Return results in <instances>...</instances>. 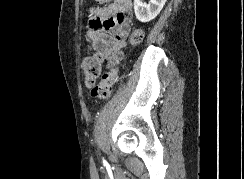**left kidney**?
Here are the masks:
<instances>
[{"mask_svg": "<svg viewBox=\"0 0 244 179\" xmlns=\"http://www.w3.org/2000/svg\"><path fill=\"white\" fill-rule=\"evenodd\" d=\"M167 0H150V4H144L143 0H134V12L139 22H150L160 14Z\"/></svg>", "mask_w": 244, "mask_h": 179, "instance_id": "left-kidney-1", "label": "left kidney"}]
</instances>
